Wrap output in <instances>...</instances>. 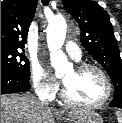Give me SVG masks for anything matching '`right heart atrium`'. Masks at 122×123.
Wrapping results in <instances>:
<instances>
[{
    "label": "right heart atrium",
    "instance_id": "1",
    "mask_svg": "<svg viewBox=\"0 0 122 123\" xmlns=\"http://www.w3.org/2000/svg\"><path fill=\"white\" fill-rule=\"evenodd\" d=\"M31 78L33 87L40 97L52 99L58 92L59 84L40 64L32 65Z\"/></svg>",
    "mask_w": 122,
    "mask_h": 123
}]
</instances>
